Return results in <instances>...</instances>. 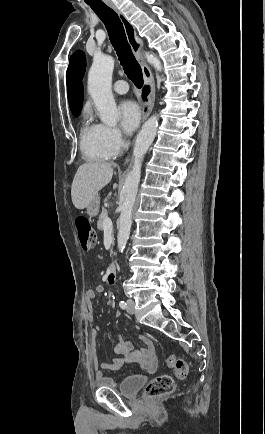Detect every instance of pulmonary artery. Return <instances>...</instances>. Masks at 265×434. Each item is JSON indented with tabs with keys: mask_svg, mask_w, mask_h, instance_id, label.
<instances>
[{
	"mask_svg": "<svg viewBox=\"0 0 265 434\" xmlns=\"http://www.w3.org/2000/svg\"><path fill=\"white\" fill-rule=\"evenodd\" d=\"M130 87V81H117L114 84V90L119 94H125L128 90H130Z\"/></svg>",
	"mask_w": 265,
	"mask_h": 434,
	"instance_id": "pulmonary-artery-1",
	"label": "pulmonary artery"
}]
</instances>
